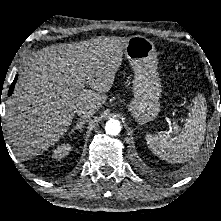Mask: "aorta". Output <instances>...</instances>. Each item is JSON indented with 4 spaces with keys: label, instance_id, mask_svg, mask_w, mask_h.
Segmentation results:
<instances>
[{
    "label": "aorta",
    "instance_id": "obj_1",
    "mask_svg": "<svg viewBox=\"0 0 221 221\" xmlns=\"http://www.w3.org/2000/svg\"><path fill=\"white\" fill-rule=\"evenodd\" d=\"M105 131L108 135L116 136L121 131V124L120 121L117 119H111L107 121L105 125Z\"/></svg>",
    "mask_w": 221,
    "mask_h": 221
}]
</instances>
